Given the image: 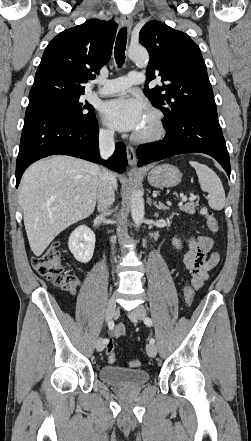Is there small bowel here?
<instances>
[{
    "mask_svg": "<svg viewBox=\"0 0 251 441\" xmlns=\"http://www.w3.org/2000/svg\"><path fill=\"white\" fill-rule=\"evenodd\" d=\"M213 240L208 236L190 237L187 240V251L185 252L182 263L184 269L190 271L192 285L200 288L207 280L210 270L219 262V255L211 252ZM76 286L71 288L75 292ZM126 333L123 325H118L112 331V336L119 337Z\"/></svg>",
    "mask_w": 251,
    "mask_h": 441,
    "instance_id": "c3829d8e",
    "label": "small bowel"
}]
</instances>
